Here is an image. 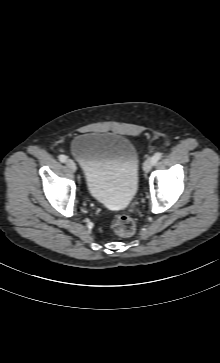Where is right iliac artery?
Segmentation results:
<instances>
[{"label":"right iliac artery","mask_w":220,"mask_h":363,"mask_svg":"<svg viewBox=\"0 0 220 363\" xmlns=\"http://www.w3.org/2000/svg\"><path fill=\"white\" fill-rule=\"evenodd\" d=\"M59 160H60L62 163H64V162H66L67 157H66L65 155H60V156H59Z\"/></svg>","instance_id":"82829eb1"}]
</instances>
